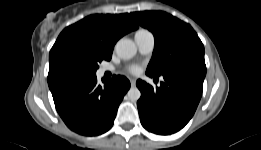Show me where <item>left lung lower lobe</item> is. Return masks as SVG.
I'll return each instance as SVG.
<instances>
[{"mask_svg":"<svg viewBox=\"0 0 261 150\" xmlns=\"http://www.w3.org/2000/svg\"><path fill=\"white\" fill-rule=\"evenodd\" d=\"M205 75L206 67L184 64L163 74L165 81L155 89L138 80L136 85L141 97L137 106L143 127L161 135L182 129L194 115L201 99Z\"/></svg>","mask_w":261,"mask_h":150,"instance_id":"left-lung-lower-lobe-1","label":"left lung lower lobe"}]
</instances>
